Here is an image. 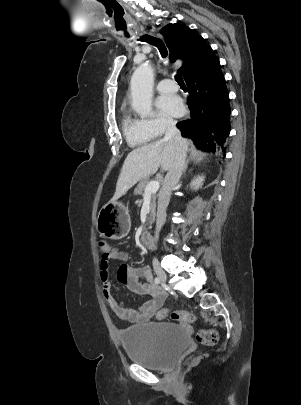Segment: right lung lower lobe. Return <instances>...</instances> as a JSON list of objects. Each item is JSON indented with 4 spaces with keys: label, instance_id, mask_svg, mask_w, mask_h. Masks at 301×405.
<instances>
[{
    "label": "right lung lower lobe",
    "instance_id": "98d812e1",
    "mask_svg": "<svg viewBox=\"0 0 301 405\" xmlns=\"http://www.w3.org/2000/svg\"><path fill=\"white\" fill-rule=\"evenodd\" d=\"M184 79L189 90L187 104L191 116L177 123V127L183 136L205 151L225 149L230 133L229 93L218 58Z\"/></svg>",
    "mask_w": 301,
    "mask_h": 405
}]
</instances>
